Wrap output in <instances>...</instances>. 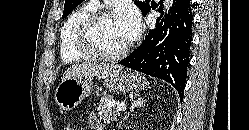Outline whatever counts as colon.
<instances>
[{
    "mask_svg": "<svg viewBox=\"0 0 249 130\" xmlns=\"http://www.w3.org/2000/svg\"><path fill=\"white\" fill-rule=\"evenodd\" d=\"M61 130H79V129L76 128L74 125L67 123V124L63 125Z\"/></svg>",
    "mask_w": 249,
    "mask_h": 130,
    "instance_id": "5ec220e1",
    "label": "colon"
}]
</instances>
